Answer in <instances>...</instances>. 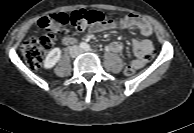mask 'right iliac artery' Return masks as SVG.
<instances>
[{"label": "right iliac artery", "mask_w": 194, "mask_h": 133, "mask_svg": "<svg viewBox=\"0 0 194 133\" xmlns=\"http://www.w3.org/2000/svg\"><path fill=\"white\" fill-rule=\"evenodd\" d=\"M87 46L88 45L86 43H84V42L80 43V48H82V49H86Z\"/></svg>", "instance_id": "obj_1"}]
</instances>
